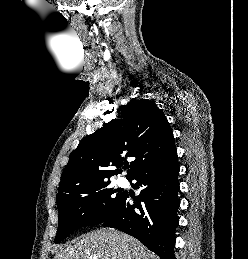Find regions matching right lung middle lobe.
Listing matches in <instances>:
<instances>
[{
  "instance_id": "obj_1",
  "label": "right lung middle lobe",
  "mask_w": 248,
  "mask_h": 259,
  "mask_svg": "<svg viewBox=\"0 0 248 259\" xmlns=\"http://www.w3.org/2000/svg\"><path fill=\"white\" fill-rule=\"evenodd\" d=\"M109 184L110 181H105L79 186L56 199L59 225L54 243H59L76 229L101 224L116 213L126 192Z\"/></svg>"
}]
</instances>
